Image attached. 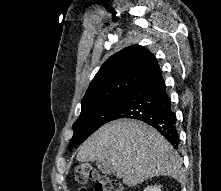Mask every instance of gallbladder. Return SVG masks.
Returning <instances> with one entry per match:
<instances>
[{"mask_svg": "<svg viewBox=\"0 0 221 191\" xmlns=\"http://www.w3.org/2000/svg\"><path fill=\"white\" fill-rule=\"evenodd\" d=\"M98 169L104 174H113L114 169L112 165L107 161H98L96 162Z\"/></svg>", "mask_w": 221, "mask_h": 191, "instance_id": "gallbladder-1", "label": "gallbladder"}]
</instances>
